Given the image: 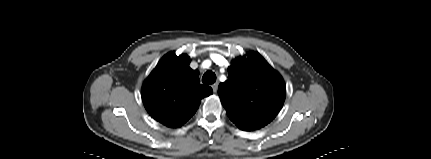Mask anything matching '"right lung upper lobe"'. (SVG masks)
I'll return each mask as SVG.
<instances>
[{
	"label": "right lung upper lobe",
	"instance_id": "cb5924a9",
	"mask_svg": "<svg viewBox=\"0 0 431 159\" xmlns=\"http://www.w3.org/2000/svg\"><path fill=\"white\" fill-rule=\"evenodd\" d=\"M187 55L166 54L142 86L148 113L167 127H180L197 111L201 99L213 93L201 85L199 72L189 67Z\"/></svg>",
	"mask_w": 431,
	"mask_h": 159
}]
</instances>
